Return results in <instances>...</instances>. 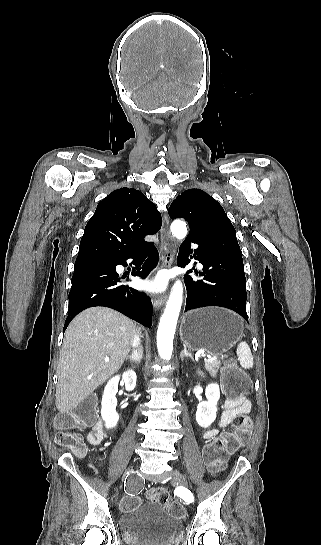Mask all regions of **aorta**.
I'll list each match as a JSON object with an SVG mask.
<instances>
[{
    "mask_svg": "<svg viewBox=\"0 0 321 545\" xmlns=\"http://www.w3.org/2000/svg\"><path fill=\"white\" fill-rule=\"evenodd\" d=\"M174 237L182 240L187 235L184 221L175 220L171 224ZM183 299V285L180 280L173 285L157 331V349L162 359L170 360L173 352V339Z\"/></svg>",
    "mask_w": 321,
    "mask_h": 545,
    "instance_id": "762f6f07",
    "label": "aorta"
}]
</instances>
